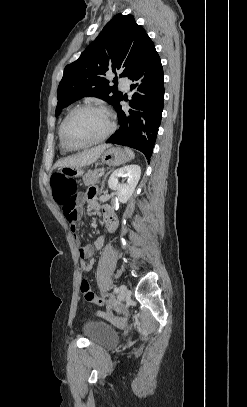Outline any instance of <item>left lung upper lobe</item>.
<instances>
[{"label":"left lung upper lobe","mask_w":247,"mask_h":407,"mask_svg":"<svg viewBox=\"0 0 247 407\" xmlns=\"http://www.w3.org/2000/svg\"><path fill=\"white\" fill-rule=\"evenodd\" d=\"M154 49V43L132 15H115L80 58L66 66L57 91L56 116L85 96L99 97L116 107L123 95L110 87L103 75L119 71L120 77L129 78Z\"/></svg>","instance_id":"5c2ea615"}]
</instances>
